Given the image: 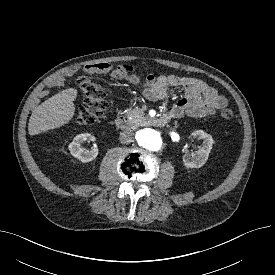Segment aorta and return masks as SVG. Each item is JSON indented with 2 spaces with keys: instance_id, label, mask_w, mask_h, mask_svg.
<instances>
[{
  "instance_id": "aorta-1",
  "label": "aorta",
  "mask_w": 275,
  "mask_h": 275,
  "mask_svg": "<svg viewBox=\"0 0 275 275\" xmlns=\"http://www.w3.org/2000/svg\"><path fill=\"white\" fill-rule=\"evenodd\" d=\"M136 141L141 147L150 151H158L162 145L160 135L150 128L139 130L136 133Z\"/></svg>"
}]
</instances>
